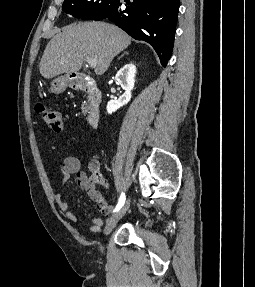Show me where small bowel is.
Instances as JSON below:
<instances>
[{
  "instance_id": "small-bowel-1",
  "label": "small bowel",
  "mask_w": 255,
  "mask_h": 287,
  "mask_svg": "<svg viewBox=\"0 0 255 287\" xmlns=\"http://www.w3.org/2000/svg\"><path fill=\"white\" fill-rule=\"evenodd\" d=\"M62 180L64 184L71 177H75L78 186L83 189L87 195L97 204L99 211L103 215H108L110 212V205L107 199L95 188L94 184L90 181L87 174L81 169V163L78 158L73 156L66 157L61 165ZM54 200L60 210L65 216L66 220L71 224H78L77 216L70 210L69 204L64 199L62 193H57ZM104 221L101 218H94L89 225V231L98 233L103 227Z\"/></svg>"
}]
</instances>
